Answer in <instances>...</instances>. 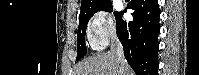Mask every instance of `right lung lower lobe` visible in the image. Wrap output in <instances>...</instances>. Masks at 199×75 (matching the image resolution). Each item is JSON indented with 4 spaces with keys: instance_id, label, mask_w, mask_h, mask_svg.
Masks as SVG:
<instances>
[{
    "instance_id": "right-lung-lower-lobe-1",
    "label": "right lung lower lobe",
    "mask_w": 199,
    "mask_h": 75,
    "mask_svg": "<svg viewBox=\"0 0 199 75\" xmlns=\"http://www.w3.org/2000/svg\"><path fill=\"white\" fill-rule=\"evenodd\" d=\"M133 21L128 24L119 12L116 18L117 36L124 48V56L137 75H157L158 34L160 11L157 0H131Z\"/></svg>"
}]
</instances>
